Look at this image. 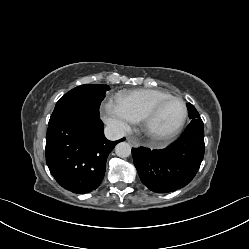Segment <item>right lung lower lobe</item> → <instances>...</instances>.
Here are the masks:
<instances>
[{
  "mask_svg": "<svg viewBox=\"0 0 249 249\" xmlns=\"http://www.w3.org/2000/svg\"><path fill=\"white\" fill-rule=\"evenodd\" d=\"M123 140L105 138L99 113H73L48 126L46 163L63 188L74 193H88L102 182L107 157Z\"/></svg>",
  "mask_w": 249,
  "mask_h": 249,
  "instance_id": "right-lung-lower-lobe-1",
  "label": "right lung lower lobe"
}]
</instances>
